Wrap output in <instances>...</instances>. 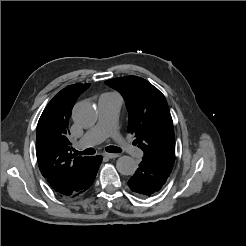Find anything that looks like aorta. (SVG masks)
<instances>
[{
    "label": "aorta",
    "mask_w": 246,
    "mask_h": 246,
    "mask_svg": "<svg viewBox=\"0 0 246 246\" xmlns=\"http://www.w3.org/2000/svg\"><path fill=\"white\" fill-rule=\"evenodd\" d=\"M73 120L82 127H89L95 124L97 113L94 105L89 101L77 103L73 108ZM118 172L122 175H133L137 169L135 160L130 156H121L116 163Z\"/></svg>",
    "instance_id": "obj_1"
}]
</instances>
